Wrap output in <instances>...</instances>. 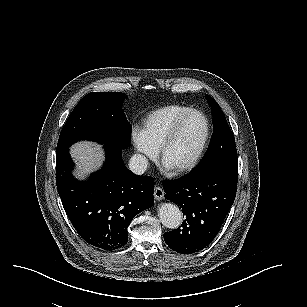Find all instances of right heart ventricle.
<instances>
[{
    "label": "right heart ventricle",
    "instance_id": "obj_1",
    "mask_svg": "<svg viewBox=\"0 0 307 307\" xmlns=\"http://www.w3.org/2000/svg\"><path fill=\"white\" fill-rule=\"evenodd\" d=\"M183 108L168 105L161 106L145 123L144 129L140 130L136 137L143 138L153 148L156 144L164 143V135L171 128L172 121L178 116Z\"/></svg>",
    "mask_w": 307,
    "mask_h": 307
}]
</instances>
